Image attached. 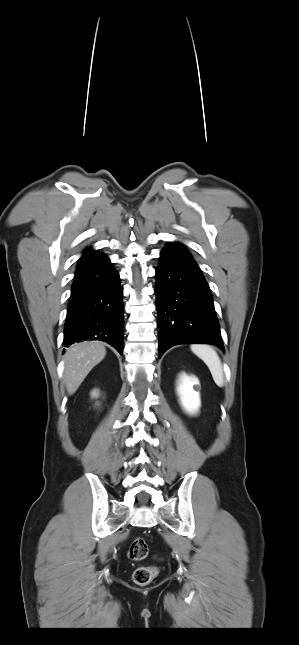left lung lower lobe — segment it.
Masks as SVG:
<instances>
[{
  "instance_id": "1",
  "label": "left lung lower lobe",
  "mask_w": 299,
  "mask_h": 645,
  "mask_svg": "<svg viewBox=\"0 0 299 645\" xmlns=\"http://www.w3.org/2000/svg\"><path fill=\"white\" fill-rule=\"evenodd\" d=\"M155 276L159 358L177 344L207 343L224 349L209 285L184 245L167 244Z\"/></svg>"
}]
</instances>
